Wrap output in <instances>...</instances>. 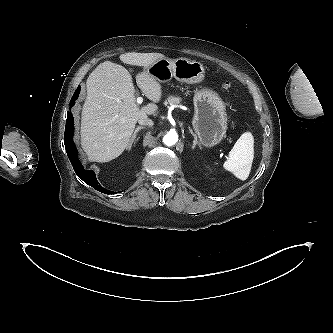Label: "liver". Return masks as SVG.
I'll use <instances>...</instances> for the list:
<instances>
[{
  "label": "liver",
  "mask_w": 333,
  "mask_h": 333,
  "mask_svg": "<svg viewBox=\"0 0 333 333\" xmlns=\"http://www.w3.org/2000/svg\"><path fill=\"white\" fill-rule=\"evenodd\" d=\"M165 56L160 53H125L120 60L129 65L147 68ZM136 83L154 103L162 97V87L146 71L136 75ZM87 98L81 120V145L89 160L109 162L127 148L135 124L142 117L154 114L158 107L149 103L136 104L135 89L130 73L111 61L100 63L89 75Z\"/></svg>",
  "instance_id": "1"
}]
</instances>
